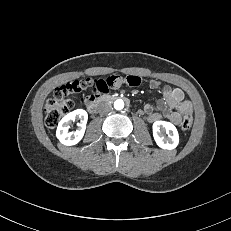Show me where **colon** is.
I'll return each mask as SVG.
<instances>
[{
    "label": "colon",
    "mask_w": 231,
    "mask_h": 231,
    "mask_svg": "<svg viewBox=\"0 0 231 231\" xmlns=\"http://www.w3.org/2000/svg\"><path fill=\"white\" fill-rule=\"evenodd\" d=\"M100 79H103V77L87 78L57 88L52 96L47 99L45 104L46 125L51 128L57 126L61 118L73 107L71 96L77 94L84 96L89 89H92L94 85H97V82ZM192 122L193 118L191 114L185 115L180 124L181 129L183 131H188L192 126Z\"/></svg>",
    "instance_id": "5ec220e1"
}]
</instances>
